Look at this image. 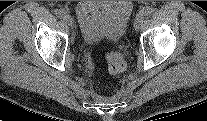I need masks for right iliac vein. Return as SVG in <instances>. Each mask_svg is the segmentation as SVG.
<instances>
[{
  "mask_svg": "<svg viewBox=\"0 0 207 121\" xmlns=\"http://www.w3.org/2000/svg\"><path fill=\"white\" fill-rule=\"evenodd\" d=\"M64 21L66 22V24L70 27H73L74 26V21H73V18L69 15V14H66L64 16Z\"/></svg>",
  "mask_w": 207,
  "mask_h": 121,
  "instance_id": "63e3f726",
  "label": "right iliac vein"
}]
</instances>
